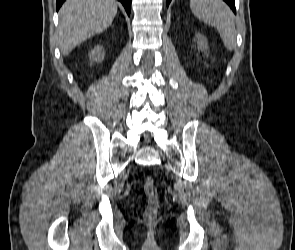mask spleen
Instances as JSON below:
<instances>
[{"label":"spleen","instance_id":"3e777b00","mask_svg":"<svg viewBox=\"0 0 295 250\" xmlns=\"http://www.w3.org/2000/svg\"><path fill=\"white\" fill-rule=\"evenodd\" d=\"M190 8L199 20L217 28L225 47L232 51L236 29L230 8L222 0H190Z\"/></svg>","mask_w":295,"mask_h":250}]
</instances>
